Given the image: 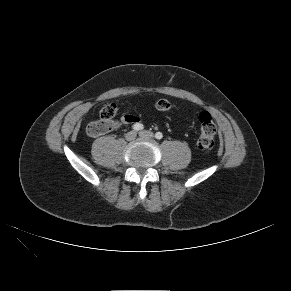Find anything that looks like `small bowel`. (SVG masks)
<instances>
[{"label": "small bowel", "instance_id": "c3829d8e", "mask_svg": "<svg viewBox=\"0 0 291 291\" xmlns=\"http://www.w3.org/2000/svg\"><path fill=\"white\" fill-rule=\"evenodd\" d=\"M139 122H140L139 116L132 113H127L123 115L120 119L112 121V129H118L123 125L136 124Z\"/></svg>", "mask_w": 291, "mask_h": 291}]
</instances>
